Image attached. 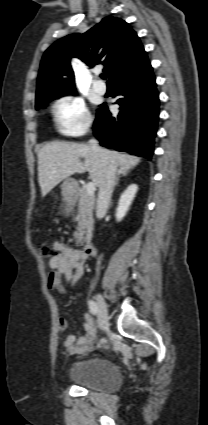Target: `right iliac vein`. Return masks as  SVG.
I'll return each mask as SVG.
<instances>
[{
    "mask_svg": "<svg viewBox=\"0 0 208 425\" xmlns=\"http://www.w3.org/2000/svg\"><path fill=\"white\" fill-rule=\"evenodd\" d=\"M96 303H97V309H98V322L99 327L101 329H107L108 328V309L107 304L102 297V295L98 294L96 297Z\"/></svg>",
    "mask_w": 208,
    "mask_h": 425,
    "instance_id": "1",
    "label": "right iliac vein"
}]
</instances>
